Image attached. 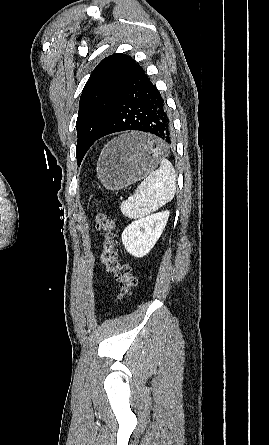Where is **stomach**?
Returning a JSON list of instances; mask_svg holds the SVG:
<instances>
[{
  "mask_svg": "<svg viewBox=\"0 0 269 445\" xmlns=\"http://www.w3.org/2000/svg\"><path fill=\"white\" fill-rule=\"evenodd\" d=\"M162 141L141 133L124 134L102 150L97 175L103 186L119 190L153 171L163 155Z\"/></svg>",
  "mask_w": 269,
  "mask_h": 445,
  "instance_id": "0dacf381",
  "label": "stomach"
}]
</instances>
